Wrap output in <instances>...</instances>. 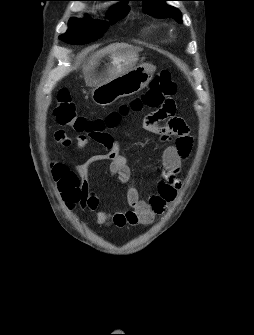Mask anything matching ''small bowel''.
<instances>
[{
	"instance_id": "small-bowel-1",
	"label": "small bowel",
	"mask_w": 254,
	"mask_h": 335,
	"mask_svg": "<svg viewBox=\"0 0 254 335\" xmlns=\"http://www.w3.org/2000/svg\"><path fill=\"white\" fill-rule=\"evenodd\" d=\"M161 108H151L150 114L145 120L146 131L161 135H175V141L168 144L162 153L161 170L163 180L158 186L155 194L148 200H143L134 186H129L126 194L129 209L126 211L97 210L98 198L89 192V168L92 164L109 161V172L122 183H128L131 179V170L127 159L121 151L120 144L109 135L108 152L90 156L87 160L73 165L70 169L63 163H58L53 168L54 179L57 182L63 198L70 206L79 204L82 209L95 212V220L101 225H115L117 227L147 225L152 223L154 218L162 214L169 203H171L180 187L181 181L178 174L182 164L188 159L192 150V138L189 128L185 122L175 117L176 105L173 98H164ZM157 120V121H156ZM55 138L63 146H69L72 139L57 132ZM89 141L101 143V141L79 136L76 139L78 148H84ZM59 165L65 167L66 171L59 169ZM77 188L81 191V198L75 200L73 194Z\"/></svg>"
}]
</instances>
